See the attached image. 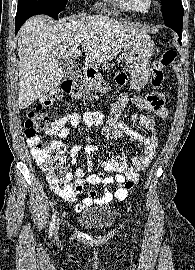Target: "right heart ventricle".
I'll return each mask as SVG.
<instances>
[{
  "instance_id": "obj_1",
  "label": "right heart ventricle",
  "mask_w": 195,
  "mask_h": 270,
  "mask_svg": "<svg viewBox=\"0 0 195 270\" xmlns=\"http://www.w3.org/2000/svg\"><path fill=\"white\" fill-rule=\"evenodd\" d=\"M119 6L125 11L143 13L146 11L141 0H117Z\"/></svg>"
}]
</instances>
